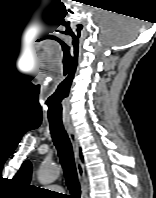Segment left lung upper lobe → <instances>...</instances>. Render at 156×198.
<instances>
[{
  "instance_id": "5c2ea615",
  "label": "left lung upper lobe",
  "mask_w": 156,
  "mask_h": 198,
  "mask_svg": "<svg viewBox=\"0 0 156 198\" xmlns=\"http://www.w3.org/2000/svg\"><path fill=\"white\" fill-rule=\"evenodd\" d=\"M31 173H32V165L29 161H25L17 174L14 176V180L28 185L30 182L31 178Z\"/></svg>"
}]
</instances>
